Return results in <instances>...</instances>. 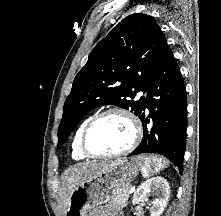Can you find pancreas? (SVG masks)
Returning a JSON list of instances; mask_svg holds the SVG:
<instances>
[{
  "mask_svg": "<svg viewBox=\"0 0 221 216\" xmlns=\"http://www.w3.org/2000/svg\"><path fill=\"white\" fill-rule=\"evenodd\" d=\"M129 190H130V185H126L119 189L115 194L112 199V202L121 206V207H126L128 198H129Z\"/></svg>",
  "mask_w": 221,
  "mask_h": 216,
  "instance_id": "obj_1",
  "label": "pancreas"
}]
</instances>
